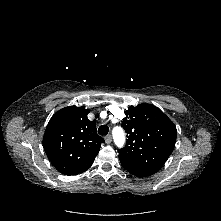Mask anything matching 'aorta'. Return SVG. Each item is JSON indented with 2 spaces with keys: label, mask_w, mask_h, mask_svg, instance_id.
<instances>
[{
  "label": "aorta",
  "mask_w": 221,
  "mask_h": 221,
  "mask_svg": "<svg viewBox=\"0 0 221 221\" xmlns=\"http://www.w3.org/2000/svg\"><path fill=\"white\" fill-rule=\"evenodd\" d=\"M113 139L117 147H123L125 143V133L121 127H114L113 131Z\"/></svg>",
  "instance_id": "762f6f07"
}]
</instances>
